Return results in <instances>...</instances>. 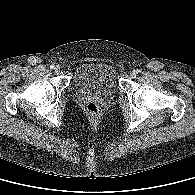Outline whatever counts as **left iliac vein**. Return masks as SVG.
<instances>
[{
  "label": "left iliac vein",
  "instance_id": "4c4485c4",
  "mask_svg": "<svg viewBox=\"0 0 195 195\" xmlns=\"http://www.w3.org/2000/svg\"><path fill=\"white\" fill-rule=\"evenodd\" d=\"M130 76H131L132 78L136 77V71H135V70L131 71V72H130Z\"/></svg>",
  "mask_w": 195,
  "mask_h": 195
}]
</instances>
